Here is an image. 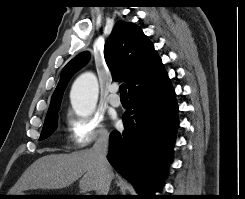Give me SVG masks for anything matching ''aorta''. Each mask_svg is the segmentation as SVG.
Listing matches in <instances>:
<instances>
[{
	"mask_svg": "<svg viewBox=\"0 0 245 199\" xmlns=\"http://www.w3.org/2000/svg\"><path fill=\"white\" fill-rule=\"evenodd\" d=\"M98 82L91 72L80 75L71 89V104L78 115L89 116L96 107L98 99Z\"/></svg>",
	"mask_w": 245,
	"mask_h": 199,
	"instance_id": "aorta-1",
	"label": "aorta"
}]
</instances>
